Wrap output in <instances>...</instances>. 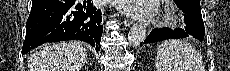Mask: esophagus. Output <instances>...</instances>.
<instances>
[{
	"instance_id": "1",
	"label": "esophagus",
	"mask_w": 230,
	"mask_h": 71,
	"mask_svg": "<svg viewBox=\"0 0 230 71\" xmlns=\"http://www.w3.org/2000/svg\"><path fill=\"white\" fill-rule=\"evenodd\" d=\"M132 24H133V20H132V19H130L129 17H125V18H124V25H125V26L129 27V26H131Z\"/></svg>"
}]
</instances>
